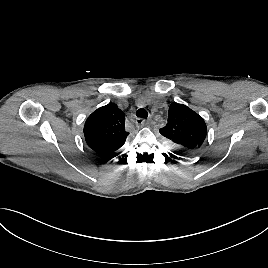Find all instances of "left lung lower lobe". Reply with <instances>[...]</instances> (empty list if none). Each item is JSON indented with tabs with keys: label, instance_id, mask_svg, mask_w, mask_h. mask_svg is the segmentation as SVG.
<instances>
[{
	"label": "left lung lower lobe",
	"instance_id": "obj_1",
	"mask_svg": "<svg viewBox=\"0 0 268 268\" xmlns=\"http://www.w3.org/2000/svg\"><path fill=\"white\" fill-rule=\"evenodd\" d=\"M180 151H183V152H190L189 150H186L184 148H178Z\"/></svg>",
	"mask_w": 268,
	"mask_h": 268
}]
</instances>
